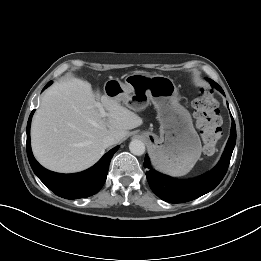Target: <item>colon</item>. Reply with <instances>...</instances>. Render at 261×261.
<instances>
[{
	"mask_svg": "<svg viewBox=\"0 0 261 261\" xmlns=\"http://www.w3.org/2000/svg\"><path fill=\"white\" fill-rule=\"evenodd\" d=\"M194 115L197 127L204 142V150L211 154L221 136V117L213 93L207 88H199L193 100Z\"/></svg>",
	"mask_w": 261,
	"mask_h": 261,
	"instance_id": "obj_1",
	"label": "colon"
}]
</instances>
